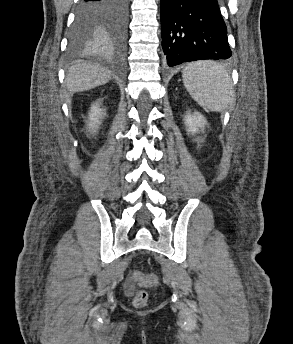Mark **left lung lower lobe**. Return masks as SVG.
Returning a JSON list of instances; mask_svg holds the SVG:
<instances>
[{
	"instance_id": "obj_1",
	"label": "left lung lower lobe",
	"mask_w": 293,
	"mask_h": 344,
	"mask_svg": "<svg viewBox=\"0 0 293 344\" xmlns=\"http://www.w3.org/2000/svg\"><path fill=\"white\" fill-rule=\"evenodd\" d=\"M161 30L170 67L232 55L217 0H161Z\"/></svg>"
}]
</instances>
